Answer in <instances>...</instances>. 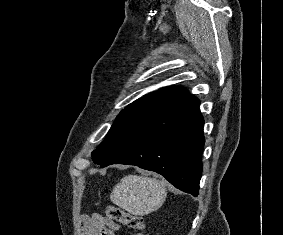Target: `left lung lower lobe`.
I'll list each match as a JSON object with an SVG mask.
<instances>
[{
    "mask_svg": "<svg viewBox=\"0 0 283 235\" xmlns=\"http://www.w3.org/2000/svg\"><path fill=\"white\" fill-rule=\"evenodd\" d=\"M203 125L199 101L189 95L141 127L101 166L136 165L163 175L176 188L197 196L202 173Z\"/></svg>",
    "mask_w": 283,
    "mask_h": 235,
    "instance_id": "1",
    "label": "left lung lower lobe"
}]
</instances>
